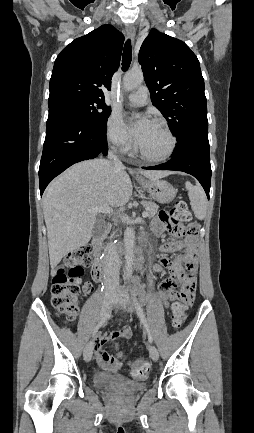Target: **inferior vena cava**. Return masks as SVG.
<instances>
[{
  "instance_id": "1",
  "label": "inferior vena cava",
  "mask_w": 254,
  "mask_h": 433,
  "mask_svg": "<svg viewBox=\"0 0 254 433\" xmlns=\"http://www.w3.org/2000/svg\"><path fill=\"white\" fill-rule=\"evenodd\" d=\"M108 158L112 161L115 167L122 168L123 164L114 154V148L109 151ZM104 272H105V287L116 288L119 285L120 262L118 253L113 243H108L104 249Z\"/></svg>"
}]
</instances>
